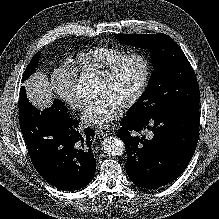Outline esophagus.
Wrapping results in <instances>:
<instances>
[{"instance_id":"34e87169","label":"esophagus","mask_w":219,"mask_h":219,"mask_svg":"<svg viewBox=\"0 0 219 219\" xmlns=\"http://www.w3.org/2000/svg\"><path fill=\"white\" fill-rule=\"evenodd\" d=\"M96 134L100 137H105L110 134V129L108 127H98L96 129Z\"/></svg>"}]
</instances>
